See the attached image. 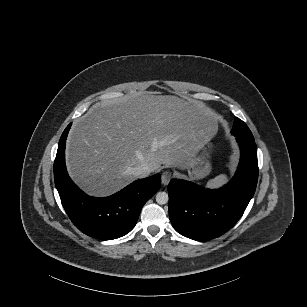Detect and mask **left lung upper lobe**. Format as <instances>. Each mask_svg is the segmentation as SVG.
<instances>
[{"mask_svg": "<svg viewBox=\"0 0 307 307\" xmlns=\"http://www.w3.org/2000/svg\"><path fill=\"white\" fill-rule=\"evenodd\" d=\"M231 133L234 136H243V137L253 138V135L251 131L249 130V128L247 127V125L237 117L235 118Z\"/></svg>", "mask_w": 307, "mask_h": 307, "instance_id": "left-lung-upper-lobe-1", "label": "left lung upper lobe"}]
</instances>
